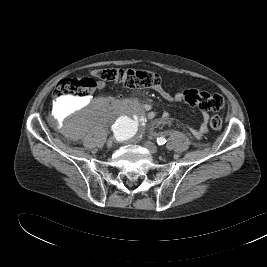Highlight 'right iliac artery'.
Segmentation results:
<instances>
[{"label":"right iliac artery","instance_id":"82829eb1","mask_svg":"<svg viewBox=\"0 0 267 267\" xmlns=\"http://www.w3.org/2000/svg\"><path fill=\"white\" fill-rule=\"evenodd\" d=\"M120 130V131H118V130ZM113 131H115V133H116V139H119V138H122V130L121 129H119V127H117V125H115V127L113 128Z\"/></svg>","mask_w":267,"mask_h":267}]
</instances>
